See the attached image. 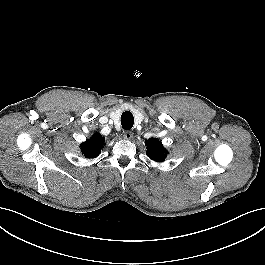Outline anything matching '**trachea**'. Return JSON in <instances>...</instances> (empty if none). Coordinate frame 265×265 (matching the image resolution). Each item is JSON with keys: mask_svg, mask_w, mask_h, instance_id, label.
I'll return each mask as SVG.
<instances>
[{"mask_svg": "<svg viewBox=\"0 0 265 265\" xmlns=\"http://www.w3.org/2000/svg\"><path fill=\"white\" fill-rule=\"evenodd\" d=\"M134 124V117L133 114L129 111H125L121 115V125L122 128L125 130H130Z\"/></svg>", "mask_w": 265, "mask_h": 265, "instance_id": "trachea-1", "label": "trachea"}]
</instances>
